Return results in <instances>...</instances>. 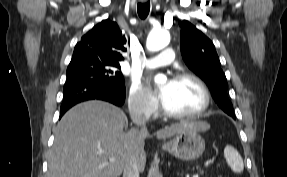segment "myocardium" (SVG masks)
<instances>
[{
    "mask_svg": "<svg viewBox=\"0 0 287 177\" xmlns=\"http://www.w3.org/2000/svg\"><path fill=\"white\" fill-rule=\"evenodd\" d=\"M184 80L192 81L200 88L202 95H203L202 105L197 111H195L193 113H175V112L168 110L166 108V106L161 102V104H160L161 111L168 118H172V119L197 118V117L201 116L204 112H206L208 110V108L210 107L211 94H210V91H209L207 85L205 84V82L201 78H199L198 76H196L192 73H187V72L178 73L174 77V81H184Z\"/></svg>",
    "mask_w": 287,
    "mask_h": 177,
    "instance_id": "obj_1",
    "label": "myocardium"
}]
</instances>
